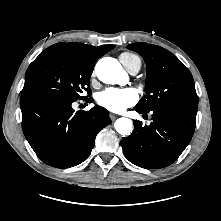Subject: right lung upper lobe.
<instances>
[{"label": "right lung upper lobe", "mask_w": 221, "mask_h": 221, "mask_svg": "<svg viewBox=\"0 0 221 221\" xmlns=\"http://www.w3.org/2000/svg\"><path fill=\"white\" fill-rule=\"evenodd\" d=\"M114 47H115L114 45H103L99 47H94L81 43H57L50 46L44 51L59 50V51L71 52L80 56L85 61L95 65V62L101 56L112 50Z\"/></svg>", "instance_id": "cb5924a9"}]
</instances>
